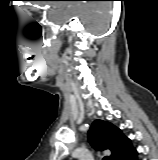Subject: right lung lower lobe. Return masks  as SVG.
<instances>
[{
    "label": "right lung lower lobe",
    "instance_id": "1",
    "mask_svg": "<svg viewBox=\"0 0 158 160\" xmlns=\"http://www.w3.org/2000/svg\"><path fill=\"white\" fill-rule=\"evenodd\" d=\"M120 160H139L136 149L132 147Z\"/></svg>",
    "mask_w": 158,
    "mask_h": 160
}]
</instances>
